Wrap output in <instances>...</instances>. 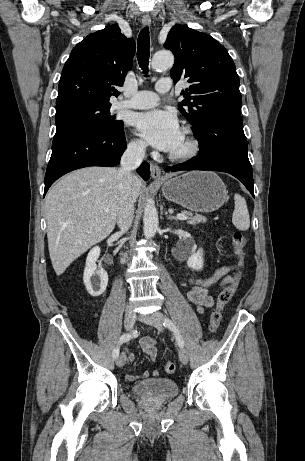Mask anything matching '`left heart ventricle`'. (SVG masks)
Returning <instances> with one entry per match:
<instances>
[{
	"mask_svg": "<svg viewBox=\"0 0 305 461\" xmlns=\"http://www.w3.org/2000/svg\"><path fill=\"white\" fill-rule=\"evenodd\" d=\"M186 146H187L186 139H185V136L182 134L179 144L176 146V148L172 152L174 153L181 152L186 149Z\"/></svg>",
	"mask_w": 305,
	"mask_h": 461,
	"instance_id": "1",
	"label": "left heart ventricle"
}]
</instances>
